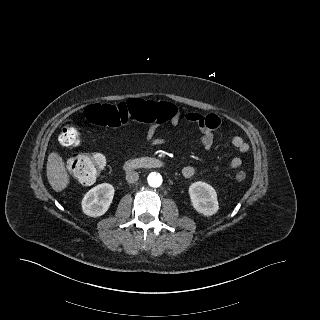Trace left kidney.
<instances>
[{
	"label": "left kidney",
	"mask_w": 320,
	"mask_h": 320,
	"mask_svg": "<svg viewBox=\"0 0 320 320\" xmlns=\"http://www.w3.org/2000/svg\"><path fill=\"white\" fill-rule=\"evenodd\" d=\"M188 192L192 206L197 212L212 216L218 211L217 193L211 185L198 181L190 185Z\"/></svg>",
	"instance_id": "1"
}]
</instances>
